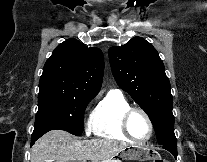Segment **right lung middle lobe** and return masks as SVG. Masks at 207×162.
I'll use <instances>...</instances> for the list:
<instances>
[{
  "label": "right lung middle lobe",
  "mask_w": 207,
  "mask_h": 162,
  "mask_svg": "<svg viewBox=\"0 0 207 162\" xmlns=\"http://www.w3.org/2000/svg\"><path fill=\"white\" fill-rule=\"evenodd\" d=\"M94 96L57 90L41 89L33 134L60 129L79 136L83 132L84 111Z\"/></svg>",
  "instance_id": "right-lung-middle-lobe-1"
}]
</instances>
